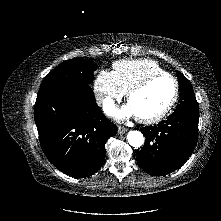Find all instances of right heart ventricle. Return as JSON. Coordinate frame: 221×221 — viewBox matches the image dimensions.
Instances as JSON below:
<instances>
[{"label":"right heart ventricle","mask_w":221,"mask_h":221,"mask_svg":"<svg viewBox=\"0 0 221 221\" xmlns=\"http://www.w3.org/2000/svg\"><path fill=\"white\" fill-rule=\"evenodd\" d=\"M162 72L156 62L147 59L119 60L113 64V74L124 92L148 76Z\"/></svg>","instance_id":"obj_1"}]
</instances>
